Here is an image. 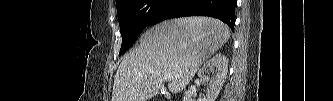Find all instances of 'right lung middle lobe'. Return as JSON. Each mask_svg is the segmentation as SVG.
<instances>
[{"label":"right lung middle lobe","mask_w":333,"mask_h":101,"mask_svg":"<svg viewBox=\"0 0 333 101\" xmlns=\"http://www.w3.org/2000/svg\"><path fill=\"white\" fill-rule=\"evenodd\" d=\"M167 0H119L116 3L122 45L119 55L126 52L142 31L154 24Z\"/></svg>","instance_id":"obj_1"}]
</instances>
